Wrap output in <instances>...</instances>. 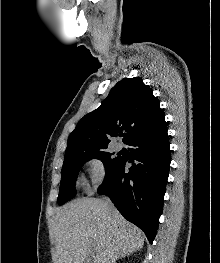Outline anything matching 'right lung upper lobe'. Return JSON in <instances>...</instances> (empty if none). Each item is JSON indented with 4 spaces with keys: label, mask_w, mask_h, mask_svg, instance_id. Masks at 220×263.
<instances>
[{
    "label": "right lung upper lobe",
    "mask_w": 220,
    "mask_h": 263,
    "mask_svg": "<svg viewBox=\"0 0 220 263\" xmlns=\"http://www.w3.org/2000/svg\"><path fill=\"white\" fill-rule=\"evenodd\" d=\"M125 130L123 142L167 130L165 115L152 89L141 78H124L96 110L85 115L68 138L66 153L105 149Z\"/></svg>",
    "instance_id": "1"
}]
</instances>
